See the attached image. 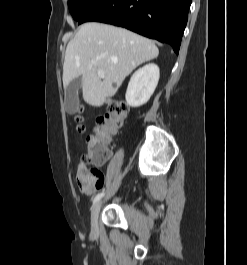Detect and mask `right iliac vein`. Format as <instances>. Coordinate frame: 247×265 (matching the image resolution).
<instances>
[{
	"instance_id": "right-iliac-vein-1",
	"label": "right iliac vein",
	"mask_w": 247,
	"mask_h": 265,
	"mask_svg": "<svg viewBox=\"0 0 247 265\" xmlns=\"http://www.w3.org/2000/svg\"><path fill=\"white\" fill-rule=\"evenodd\" d=\"M102 206V202L98 201L94 204L91 210V229L93 233L98 232V216Z\"/></svg>"
}]
</instances>
